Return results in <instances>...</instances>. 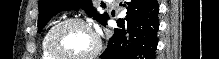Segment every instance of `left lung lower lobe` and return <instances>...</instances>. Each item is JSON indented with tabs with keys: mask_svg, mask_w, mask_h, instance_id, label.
<instances>
[{
	"mask_svg": "<svg viewBox=\"0 0 219 59\" xmlns=\"http://www.w3.org/2000/svg\"><path fill=\"white\" fill-rule=\"evenodd\" d=\"M123 6L127 8V16L118 20V28L100 58L155 59L159 28L157 0H128Z\"/></svg>",
	"mask_w": 219,
	"mask_h": 59,
	"instance_id": "obj_1",
	"label": "left lung lower lobe"
}]
</instances>
